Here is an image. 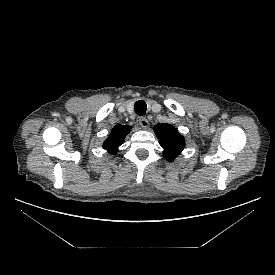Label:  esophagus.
Here are the masks:
<instances>
[{
    "label": "esophagus",
    "mask_w": 275,
    "mask_h": 275,
    "mask_svg": "<svg viewBox=\"0 0 275 275\" xmlns=\"http://www.w3.org/2000/svg\"><path fill=\"white\" fill-rule=\"evenodd\" d=\"M138 121L143 128H147L149 126V122L146 117H140Z\"/></svg>",
    "instance_id": "1"
}]
</instances>
